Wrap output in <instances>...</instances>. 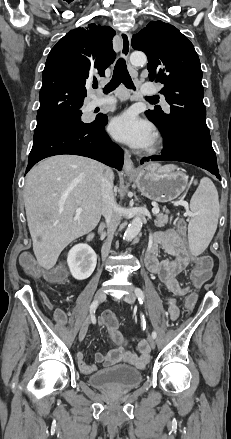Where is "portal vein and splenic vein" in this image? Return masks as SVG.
<instances>
[{
    "label": "portal vein and splenic vein",
    "instance_id": "portal-vein-and-splenic-vein-1",
    "mask_svg": "<svg viewBox=\"0 0 231 439\" xmlns=\"http://www.w3.org/2000/svg\"><path fill=\"white\" fill-rule=\"evenodd\" d=\"M181 204H183V202L175 203V205H181ZM159 211H160V210H159L158 207H154V208L152 209V213H153V214H158ZM75 212H76V214H81V212H82V208H77Z\"/></svg>",
    "mask_w": 231,
    "mask_h": 439
}]
</instances>
